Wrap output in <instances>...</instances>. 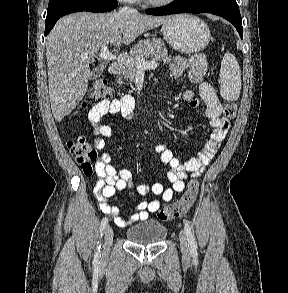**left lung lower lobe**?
<instances>
[{
  "instance_id": "left-lung-lower-lobe-1",
  "label": "left lung lower lobe",
  "mask_w": 288,
  "mask_h": 293,
  "mask_svg": "<svg viewBox=\"0 0 288 293\" xmlns=\"http://www.w3.org/2000/svg\"><path fill=\"white\" fill-rule=\"evenodd\" d=\"M150 15H170L176 13H211L231 22L243 37L242 18L237 3L225 0H176L171 4L145 10Z\"/></svg>"
}]
</instances>
